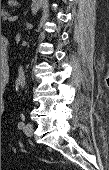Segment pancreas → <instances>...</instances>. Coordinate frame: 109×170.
<instances>
[{"label":"pancreas","instance_id":"obj_1","mask_svg":"<svg viewBox=\"0 0 109 170\" xmlns=\"http://www.w3.org/2000/svg\"><path fill=\"white\" fill-rule=\"evenodd\" d=\"M8 15H9L8 12H6L4 8L1 9V19H2V20H4V18H5L6 16H8Z\"/></svg>","mask_w":109,"mask_h":170}]
</instances>
